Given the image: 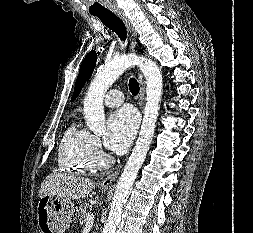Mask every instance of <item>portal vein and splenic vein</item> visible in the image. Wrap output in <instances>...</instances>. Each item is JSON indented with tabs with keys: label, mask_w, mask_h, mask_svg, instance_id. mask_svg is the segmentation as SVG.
Instances as JSON below:
<instances>
[{
	"label": "portal vein and splenic vein",
	"mask_w": 253,
	"mask_h": 233,
	"mask_svg": "<svg viewBox=\"0 0 253 233\" xmlns=\"http://www.w3.org/2000/svg\"><path fill=\"white\" fill-rule=\"evenodd\" d=\"M94 222V215L92 213H88L86 217V225L92 224Z\"/></svg>",
	"instance_id": "obj_1"
}]
</instances>
